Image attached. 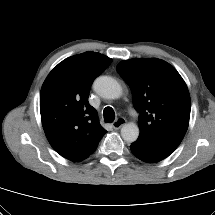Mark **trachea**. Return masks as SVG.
Returning a JSON list of instances; mask_svg holds the SVG:
<instances>
[{"mask_svg": "<svg viewBox=\"0 0 215 215\" xmlns=\"http://www.w3.org/2000/svg\"><path fill=\"white\" fill-rule=\"evenodd\" d=\"M103 115L105 122H113L115 119V112L111 107H106Z\"/></svg>", "mask_w": 215, "mask_h": 215, "instance_id": "1", "label": "trachea"}]
</instances>
